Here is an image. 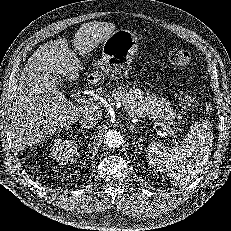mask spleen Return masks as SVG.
<instances>
[{
  "instance_id": "1",
  "label": "spleen",
  "mask_w": 231,
  "mask_h": 231,
  "mask_svg": "<svg viewBox=\"0 0 231 231\" xmlns=\"http://www.w3.org/2000/svg\"><path fill=\"white\" fill-rule=\"evenodd\" d=\"M213 133L208 121L195 123L183 141L172 148L152 143L147 161L154 170L167 174L175 185H185L199 174L210 155Z\"/></svg>"
}]
</instances>
